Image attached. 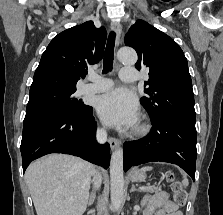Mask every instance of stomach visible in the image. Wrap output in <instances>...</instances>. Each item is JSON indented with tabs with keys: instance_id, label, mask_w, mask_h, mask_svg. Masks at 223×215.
Masks as SVG:
<instances>
[{
	"instance_id": "stomach-1",
	"label": "stomach",
	"mask_w": 223,
	"mask_h": 215,
	"mask_svg": "<svg viewBox=\"0 0 223 215\" xmlns=\"http://www.w3.org/2000/svg\"><path fill=\"white\" fill-rule=\"evenodd\" d=\"M131 181H145L146 173L142 169H135L131 171Z\"/></svg>"
}]
</instances>
